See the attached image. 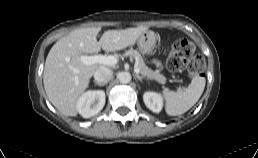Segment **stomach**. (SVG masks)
Here are the masks:
<instances>
[{
    "label": "stomach",
    "mask_w": 258,
    "mask_h": 158,
    "mask_svg": "<svg viewBox=\"0 0 258 158\" xmlns=\"http://www.w3.org/2000/svg\"><path fill=\"white\" fill-rule=\"evenodd\" d=\"M157 41V35L153 31H144L137 39L139 50L146 55H152Z\"/></svg>",
    "instance_id": "1"
}]
</instances>
